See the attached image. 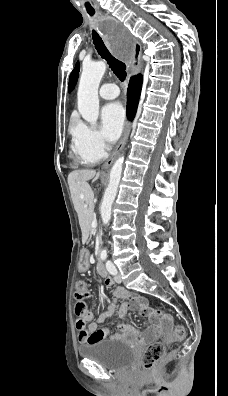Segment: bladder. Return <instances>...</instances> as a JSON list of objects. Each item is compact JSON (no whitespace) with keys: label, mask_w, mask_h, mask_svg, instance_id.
<instances>
[{"label":"bladder","mask_w":228,"mask_h":396,"mask_svg":"<svg viewBox=\"0 0 228 396\" xmlns=\"http://www.w3.org/2000/svg\"><path fill=\"white\" fill-rule=\"evenodd\" d=\"M82 358L97 362L110 370H124L134 359V351L124 340L118 338L99 340L78 349Z\"/></svg>","instance_id":"obj_1"}]
</instances>
